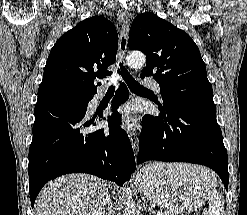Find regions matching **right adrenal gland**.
<instances>
[{
    "label": "right adrenal gland",
    "mask_w": 247,
    "mask_h": 215,
    "mask_svg": "<svg viewBox=\"0 0 247 215\" xmlns=\"http://www.w3.org/2000/svg\"><path fill=\"white\" fill-rule=\"evenodd\" d=\"M113 214V210H112V202L111 200L109 199V202H108V213H106L105 215H111Z\"/></svg>",
    "instance_id": "right-adrenal-gland-1"
}]
</instances>
